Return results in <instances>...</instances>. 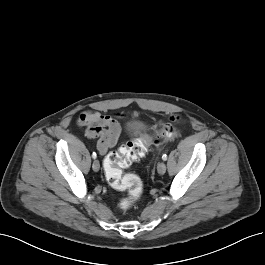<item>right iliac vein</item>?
Returning <instances> with one entry per match:
<instances>
[{"label": "right iliac vein", "instance_id": "1", "mask_svg": "<svg viewBox=\"0 0 265 265\" xmlns=\"http://www.w3.org/2000/svg\"><path fill=\"white\" fill-rule=\"evenodd\" d=\"M92 168H93V170L96 171V172L99 171V169H100V163H99L98 160H94V161H93Z\"/></svg>", "mask_w": 265, "mask_h": 265}]
</instances>
